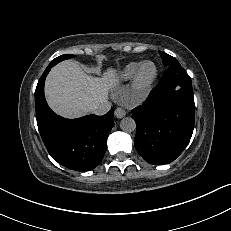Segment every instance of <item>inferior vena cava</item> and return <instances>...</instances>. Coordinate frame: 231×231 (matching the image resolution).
I'll return each mask as SVG.
<instances>
[{"label":"inferior vena cava","mask_w":231,"mask_h":231,"mask_svg":"<svg viewBox=\"0 0 231 231\" xmlns=\"http://www.w3.org/2000/svg\"><path fill=\"white\" fill-rule=\"evenodd\" d=\"M110 108H111L110 102L105 101L99 105L93 106L91 108V112L95 115H104L109 111Z\"/></svg>","instance_id":"602c4592"}]
</instances>
